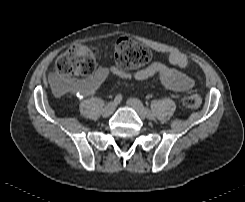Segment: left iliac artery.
Returning <instances> with one entry per match:
<instances>
[{"mask_svg":"<svg viewBox=\"0 0 245 202\" xmlns=\"http://www.w3.org/2000/svg\"><path fill=\"white\" fill-rule=\"evenodd\" d=\"M145 112H146V116H147L149 119L154 118V113H153L152 111H150L148 108L145 109Z\"/></svg>","mask_w":245,"mask_h":202,"instance_id":"1","label":"left iliac artery"}]
</instances>
